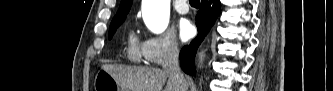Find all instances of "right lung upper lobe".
<instances>
[{
    "mask_svg": "<svg viewBox=\"0 0 333 91\" xmlns=\"http://www.w3.org/2000/svg\"><path fill=\"white\" fill-rule=\"evenodd\" d=\"M131 4H132V0H121L119 10L117 11V14L113 18V20L120 19V18H126V15L129 12Z\"/></svg>",
    "mask_w": 333,
    "mask_h": 91,
    "instance_id": "cb5924a9",
    "label": "right lung upper lobe"
}]
</instances>
